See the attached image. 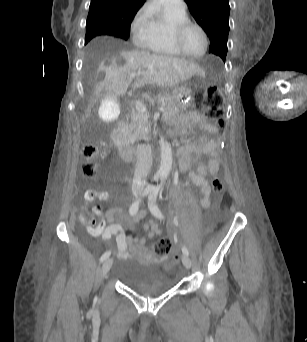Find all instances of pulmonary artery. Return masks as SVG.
Here are the masks:
<instances>
[{"label":"pulmonary artery","mask_w":307,"mask_h":342,"mask_svg":"<svg viewBox=\"0 0 307 342\" xmlns=\"http://www.w3.org/2000/svg\"><path fill=\"white\" fill-rule=\"evenodd\" d=\"M160 2H161L163 10L185 11L187 9L186 1H160Z\"/></svg>","instance_id":"e3ab8cb5"}]
</instances>
